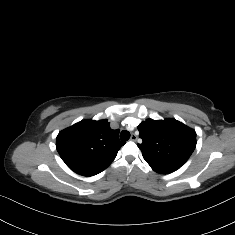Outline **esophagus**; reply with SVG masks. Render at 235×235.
Segmentation results:
<instances>
[{"instance_id": "34e87169", "label": "esophagus", "mask_w": 235, "mask_h": 235, "mask_svg": "<svg viewBox=\"0 0 235 235\" xmlns=\"http://www.w3.org/2000/svg\"><path fill=\"white\" fill-rule=\"evenodd\" d=\"M137 139H138L137 135L134 134V133H132V134H131V137H130V140H131V141H137Z\"/></svg>"}]
</instances>
